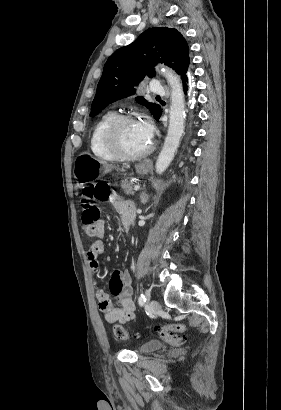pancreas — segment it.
<instances>
[{
	"label": "pancreas",
	"instance_id": "pancreas-1",
	"mask_svg": "<svg viewBox=\"0 0 281 410\" xmlns=\"http://www.w3.org/2000/svg\"><path fill=\"white\" fill-rule=\"evenodd\" d=\"M133 186L134 182L128 178L121 181V188L123 189L124 193L127 195H133Z\"/></svg>",
	"mask_w": 281,
	"mask_h": 410
}]
</instances>
